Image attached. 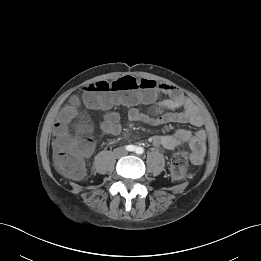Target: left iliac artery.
<instances>
[{
	"instance_id": "1",
	"label": "left iliac artery",
	"mask_w": 261,
	"mask_h": 261,
	"mask_svg": "<svg viewBox=\"0 0 261 261\" xmlns=\"http://www.w3.org/2000/svg\"><path fill=\"white\" fill-rule=\"evenodd\" d=\"M136 152L138 153V152H139V149H138V150H136Z\"/></svg>"
}]
</instances>
